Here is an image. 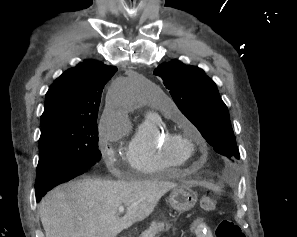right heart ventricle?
I'll list each match as a JSON object with an SVG mask.
<instances>
[{
	"instance_id": "right-heart-ventricle-1",
	"label": "right heart ventricle",
	"mask_w": 297,
	"mask_h": 237,
	"mask_svg": "<svg viewBox=\"0 0 297 237\" xmlns=\"http://www.w3.org/2000/svg\"><path fill=\"white\" fill-rule=\"evenodd\" d=\"M157 107L165 116L174 113L160 104ZM170 135L166 123L157 114H146L126 147L130 166L148 176L184 166L188 157L170 143Z\"/></svg>"
}]
</instances>
